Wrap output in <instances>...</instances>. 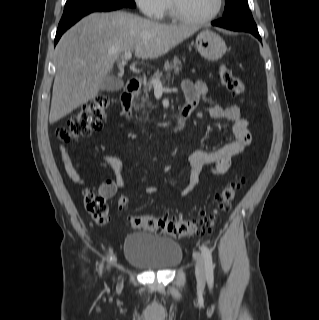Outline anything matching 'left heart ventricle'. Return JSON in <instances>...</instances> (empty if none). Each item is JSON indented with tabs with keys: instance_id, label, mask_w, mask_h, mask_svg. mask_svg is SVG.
<instances>
[{
	"instance_id": "1",
	"label": "left heart ventricle",
	"mask_w": 319,
	"mask_h": 320,
	"mask_svg": "<svg viewBox=\"0 0 319 320\" xmlns=\"http://www.w3.org/2000/svg\"><path fill=\"white\" fill-rule=\"evenodd\" d=\"M179 10L193 18L207 17L214 12L217 0H175Z\"/></svg>"
}]
</instances>
